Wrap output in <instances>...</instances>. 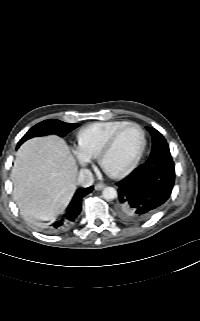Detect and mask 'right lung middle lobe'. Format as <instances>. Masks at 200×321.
Returning <instances> with one entry per match:
<instances>
[{
  "mask_svg": "<svg viewBox=\"0 0 200 321\" xmlns=\"http://www.w3.org/2000/svg\"><path fill=\"white\" fill-rule=\"evenodd\" d=\"M78 126V123H65L56 119L45 120L32 127L19 141L18 146L26 140L37 136L56 134L63 137Z\"/></svg>",
  "mask_w": 200,
  "mask_h": 321,
  "instance_id": "obj_1",
  "label": "right lung middle lobe"
}]
</instances>
